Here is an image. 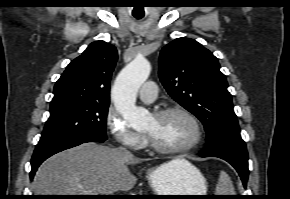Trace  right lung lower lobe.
Wrapping results in <instances>:
<instances>
[{
    "instance_id": "obj_1",
    "label": "right lung lower lobe",
    "mask_w": 290,
    "mask_h": 199,
    "mask_svg": "<svg viewBox=\"0 0 290 199\" xmlns=\"http://www.w3.org/2000/svg\"><path fill=\"white\" fill-rule=\"evenodd\" d=\"M105 140L106 139L93 136H80L67 140L37 144L31 159L30 177H34L36 170L44 160L60 151L75 147L86 142H104Z\"/></svg>"
}]
</instances>
